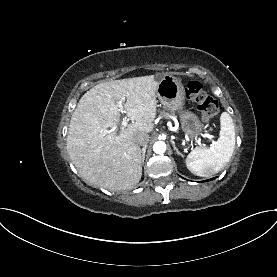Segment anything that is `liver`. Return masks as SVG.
<instances>
[{
  "mask_svg": "<svg viewBox=\"0 0 277 277\" xmlns=\"http://www.w3.org/2000/svg\"><path fill=\"white\" fill-rule=\"evenodd\" d=\"M158 84L154 75L114 80L94 86L81 97L70 120L66 147L72 163L90 184L117 191L139 183L142 156L134 137L154 128ZM122 97L132 123L118 134L116 101Z\"/></svg>",
  "mask_w": 277,
  "mask_h": 277,
  "instance_id": "liver-1",
  "label": "liver"
}]
</instances>
